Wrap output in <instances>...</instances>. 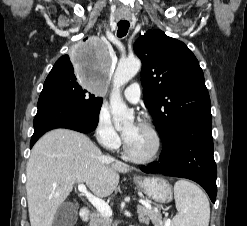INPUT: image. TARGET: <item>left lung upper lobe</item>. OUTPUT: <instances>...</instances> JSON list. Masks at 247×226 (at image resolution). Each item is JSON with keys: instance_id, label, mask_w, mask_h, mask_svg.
<instances>
[{"instance_id": "left-lung-upper-lobe-1", "label": "left lung upper lobe", "mask_w": 247, "mask_h": 226, "mask_svg": "<svg viewBox=\"0 0 247 226\" xmlns=\"http://www.w3.org/2000/svg\"><path fill=\"white\" fill-rule=\"evenodd\" d=\"M134 51L142 61L143 94L163 144L192 120L211 117L202 69L183 42L149 30L135 42Z\"/></svg>"}]
</instances>
